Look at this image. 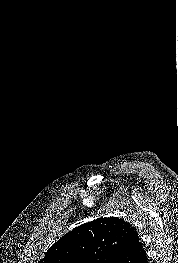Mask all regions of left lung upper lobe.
Instances as JSON below:
<instances>
[{
    "instance_id": "left-lung-upper-lobe-1",
    "label": "left lung upper lobe",
    "mask_w": 178,
    "mask_h": 263,
    "mask_svg": "<svg viewBox=\"0 0 178 263\" xmlns=\"http://www.w3.org/2000/svg\"><path fill=\"white\" fill-rule=\"evenodd\" d=\"M131 228L129 222L117 217L85 223L55 242L39 263H109Z\"/></svg>"
}]
</instances>
